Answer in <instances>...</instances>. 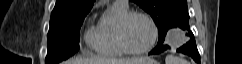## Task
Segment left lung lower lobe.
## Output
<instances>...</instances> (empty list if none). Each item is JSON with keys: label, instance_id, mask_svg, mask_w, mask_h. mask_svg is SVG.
<instances>
[{"label": "left lung lower lobe", "instance_id": "left-lung-lower-lobe-1", "mask_svg": "<svg viewBox=\"0 0 242 64\" xmlns=\"http://www.w3.org/2000/svg\"><path fill=\"white\" fill-rule=\"evenodd\" d=\"M179 28L185 31H189L190 30L189 22L182 23L179 26ZM188 35L190 36V40L182 47L177 49V52L191 56L198 64H200V54L197 50L194 35L191 31H189ZM169 48L170 47L166 44H160V45H157L149 54L150 55L160 54Z\"/></svg>", "mask_w": 242, "mask_h": 64}]
</instances>
